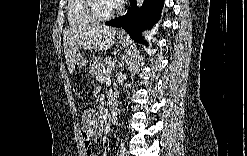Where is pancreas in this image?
I'll list each match as a JSON object with an SVG mask.
<instances>
[{
  "mask_svg": "<svg viewBox=\"0 0 247 156\" xmlns=\"http://www.w3.org/2000/svg\"><path fill=\"white\" fill-rule=\"evenodd\" d=\"M113 68L114 66L111 60L108 58L104 59L102 62L100 61L94 68H90V72L96 76L97 81L104 83L110 76Z\"/></svg>",
  "mask_w": 247,
  "mask_h": 156,
  "instance_id": "cf45deb5",
  "label": "pancreas"
}]
</instances>
